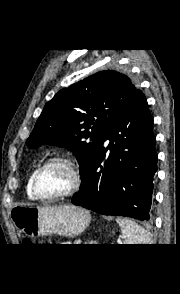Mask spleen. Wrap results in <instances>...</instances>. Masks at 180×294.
<instances>
[{
  "mask_svg": "<svg viewBox=\"0 0 180 294\" xmlns=\"http://www.w3.org/2000/svg\"><path fill=\"white\" fill-rule=\"evenodd\" d=\"M125 240L123 244H150L148 232L139 224L131 219L116 218Z\"/></svg>",
  "mask_w": 180,
  "mask_h": 294,
  "instance_id": "obj_1",
  "label": "spleen"
}]
</instances>
